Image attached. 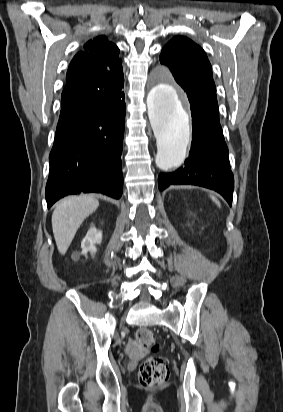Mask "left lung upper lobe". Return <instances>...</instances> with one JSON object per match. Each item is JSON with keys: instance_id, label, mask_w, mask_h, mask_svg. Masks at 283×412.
Wrapping results in <instances>:
<instances>
[{"instance_id": "5c2ea615", "label": "left lung upper lobe", "mask_w": 283, "mask_h": 412, "mask_svg": "<svg viewBox=\"0 0 283 412\" xmlns=\"http://www.w3.org/2000/svg\"><path fill=\"white\" fill-rule=\"evenodd\" d=\"M160 62L167 65L178 84L217 103L212 68L204 50L182 36H176L162 49Z\"/></svg>"}]
</instances>
